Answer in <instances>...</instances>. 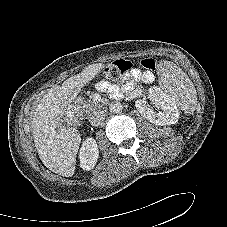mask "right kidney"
Here are the masks:
<instances>
[{"label":"right kidney","mask_w":227,"mask_h":227,"mask_svg":"<svg viewBox=\"0 0 227 227\" xmlns=\"http://www.w3.org/2000/svg\"><path fill=\"white\" fill-rule=\"evenodd\" d=\"M99 157V149L94 138H87L80 149V166L83 170L89 171L94 168Z\"/></svg>","instance_id":"right-kidney-1"}]
</instances>
